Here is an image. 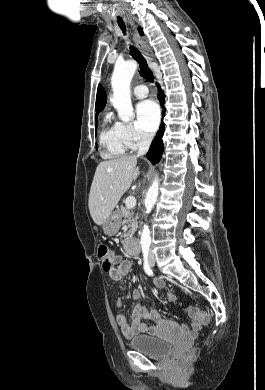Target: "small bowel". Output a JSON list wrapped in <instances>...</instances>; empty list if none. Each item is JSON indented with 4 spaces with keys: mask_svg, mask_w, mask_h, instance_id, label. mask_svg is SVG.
<instances>
[{
    "mask_svg": "<svg viewBox=\"0 0 265 390\" xmlns=\"http://www.w3.org/2000/svg\"><path fill=\"white\" fill-rule=\"evenodd\" d=\"M117 265L110 272L109 276L112 280L121 283L125 276L132 269V262L130 260H124L120 256H115ZM157 287H164V282L160 279L155 280ZM122 290V285L119 286ZM132 298L139 300L141 298V291L135 289L132 292ZM120 305V303H119ZM143 320H150L148 324ZM164 322L161 312L158 310H146L141 305H137L131 316V320L128 321L126 316L119 312L116 315V323L121 332L126 337H131L137 334L147 333L154 335L159 331L160 325ZM202 327V323L199 320L193 319L191 323V329L188 330L186 326L181 325L180 330L183 331L188 337L194 338Z\"/></svg>",
    "mask_w": 265,
    "mask_h": 390,
    "instance_id": "1",
    "label": "small bowel"
}]
</instances>
